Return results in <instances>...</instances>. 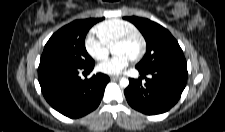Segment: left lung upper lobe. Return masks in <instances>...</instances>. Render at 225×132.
<instances>
[{"label": "left lung upper lobe", "instance_id": "obj_1", "mask_svg": "<svg viewBox=\"0 0 225 132\" xmlns=\"http://www.w3.org/2000/svg\"><path fill=\"white\" fill-rule=\"evenodd\" d=\"M143 34L147 50L136 65L141 71H149L160 66L186 65L183 51L171 33L161 25L145 18L125 17Z\"/></svg>", "mask_w": 225, "mask_h": 132}]
</instances>
